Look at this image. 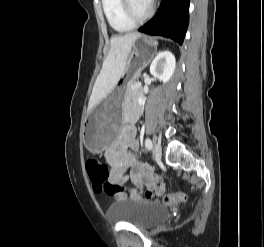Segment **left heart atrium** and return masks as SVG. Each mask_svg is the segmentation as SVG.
<instances>
[{
    "instance_id": "1",
    "label": "left heart atrium",
    "mask_w": 264,
    "mask_h": 247,
    "mask_svg": "<svg viewBox=\"0 0 264 247\" xmlns=\"http://www.w3.org/2000/svg\"><path fill=\"white\" fill-rule=\"evenodd\" d=\"M145 3L150 4L152 0H143Z\"/></svg>"
}]
</instances>
